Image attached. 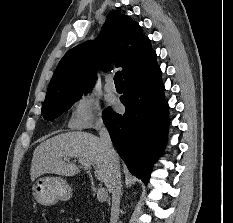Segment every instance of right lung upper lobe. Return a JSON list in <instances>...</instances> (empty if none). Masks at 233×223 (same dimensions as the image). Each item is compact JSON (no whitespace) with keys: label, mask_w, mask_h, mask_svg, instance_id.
Returning <instances> with one entry per match:
<instances>
[{"label":"right lung upper lobe","mask_w":233,"mask_h":223,"mask_svg":"<svg viewBox=\"0 0 233 223\" xmlns=\"http://www.w3.org/2000/svg\"><path fill=\"white\" fill-rule=\"evenodd\" d=\"M150 39L129 16L112 11L95 41L69 50L59 62L43 105L93 87L96 68L106 70L114 63L122 68L124 80L156 63Z\"/></svg>","instance_id":"1"}]
</instances>
